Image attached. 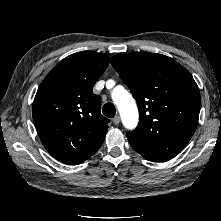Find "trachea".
I'll return each instance as SVG.
<instances>
[{
	"label": "trachea",
	"mask_w": 221,
	"mask_h": 221,
	"mask_svg": "<svg viewBox=\"0 0 221 221\" xmlns=\"http://www.w3.org/2000/svg\"><path fill=\"white\" fill-rule=\"evenodd\" d=\"M102 112L106 117L113 118L116 114V109L112 103H106Z\"/></svg>",
	"instance_id": "obj_1"
}]
</instances>
